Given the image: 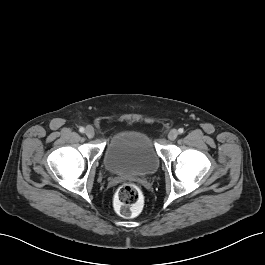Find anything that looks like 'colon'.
<instances>
[{
    "mask_svg": "<svg viewBox=\"0 0 265 265\" xmlns=\"http://www.w3.org/2000/svg\"><path fill=\"white\" fill-rule=\"evenodd\" d=\"M142 202V194L139 187L132 182H124L117 191L114 200L119 214L124 217H132Z\"/></svg>",
    "mask_w": 265,
    "mask_h": 265,
    "instance_id": "obj_1",
    "label": "colon"
}]
</instances>
